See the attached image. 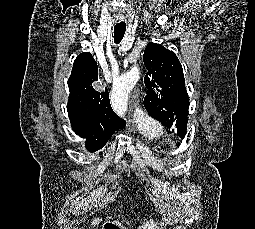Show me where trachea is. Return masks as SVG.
Returning <instances> with one entry per match:
<instances>
[{
  "instance_id": "1",
  "label": "trachea",
  "mask_w": 255,
  "mask_h": 229,
  "mask_svg": "<svg viewBox=\"0 0 255 229\" xmlns=\"http://www.w3.org/2000/svg\"><path fill=\"white\" fill-rule=\"evenodd\" d=\"M126 24L124 22L117 23L114 27V42L119 44L124 37Z\"/></svg>"
}]
</instances>
